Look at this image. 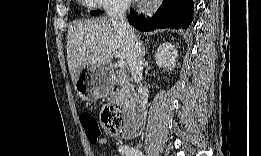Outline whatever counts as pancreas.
<instances>
[{
    "instance_id": "cf45deb5",
    "label": "pancreas",
    "mask_w": 261,
    "mask_h": 156,
    "mask_svg": "<svg viewBox=\"0 0 261 156\" xmlns=\"http://www.w3.org/2000/svg\"><path fill=\"white\" fill-rule=\"evenodd\" d=\"M113 83L118 85L116 92V99L119 103L127 106L133 102V95L130 91V83L123 74L117 75L113 78Z\"/></svg>"
}]
</instances>
